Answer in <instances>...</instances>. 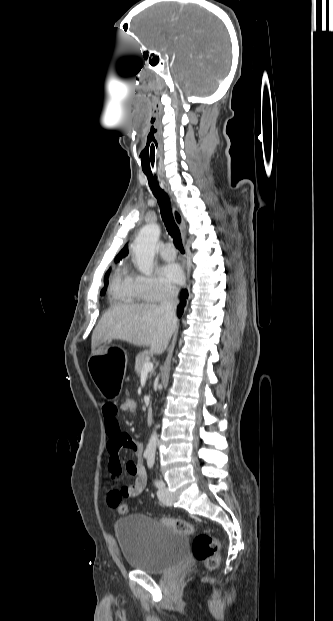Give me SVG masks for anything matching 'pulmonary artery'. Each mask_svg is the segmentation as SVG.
<instances>
[{"label": "pulmonary artery", "mask_w": 333, "mask_h": 621, "mask_svg": "<svg viewBox=\"0 0 333 621\" xmlns=\"http://www.w3.org/2000/svg\"><path fill=\"white\" fill-rule=\"evenodd\" d=\"M161 257L165 260H173L176 256V251L172 243H165L160 250Z\"/></svg>", "instance_id": "pulmonary-artery-1"}]
</instances>
